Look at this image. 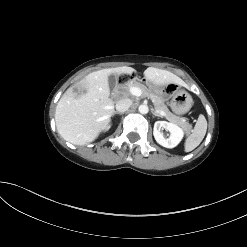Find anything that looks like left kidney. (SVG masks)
<instances>
[{
	"mask_svg": "<svg viewBox=\"0 0 247 247\" xmlns=\"http://www.w3.org/2000/svg\"><path fill=\"white\" fill-rule=\"evenodd\" d=\"M166 129L170 132V137L165 139L161 133V129ZM153 135L157 143L166 148L176 147L183 139L184 132L176 124L169 123L167 121H156L154 124Z\"/></svg>",
	"mask_w": 247,
	"mask_h": 247,
	"instance_id": "obj_1",
	"label": "left kidney"
}]
</instances>
